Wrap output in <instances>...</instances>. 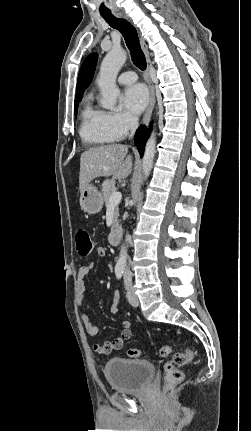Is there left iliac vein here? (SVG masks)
Listing matches in <instances>:
<instances>
[{
    "label": "left iliac vein",
    "mask_w": 251,
    "mask_h": 431,
    "mask_svg": "<svg viewBox=\"0 0 251 431\" xmlns=\"http://www.w3.org/2000/svg\"><path fill=\"white\" fill-rule=\"evenodd\" d=\"M127 299L132 306L137 307L139 305L138 297L131 287L127 288Z\"/></svg>",
    "instance_id": "left-iliac-vein-1"
}]
</instances>
